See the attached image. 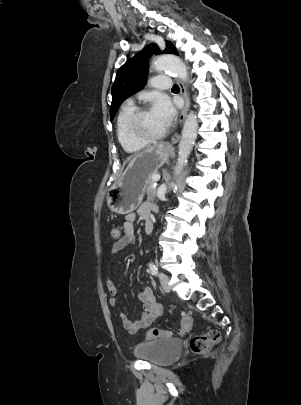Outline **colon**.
Masks as SVG:
<instances>
[{
    "instance_id": "obj_1",
    "label": "colon",
    "mask_w": 301,
    "mask_h": 405,
    "mask_svg": "<svg viewBox=\"0 0 301 405\" xmlns=\"http://www.w3.org/2000/svg\"><path fill=\"white\" fill-rule=\"evenodd\" d=\"M109 229L111 230V237H118L119 235V229L117 224H111L109 226ZM192 325V319L189 315H185L183 317L181 327H180V333H186L189 331ZM173 336V333L171 331L167 330H162L158 328H152L148 330L146 333L145 339L146 340H152L156 338H168ZM221 339V335L219 331L217 330H210L206 333L203 334H198L195 336H192L190 339V349L194 354H205L207 353L214 345L219 343Z\"/></svg>"
}]
</instances>
